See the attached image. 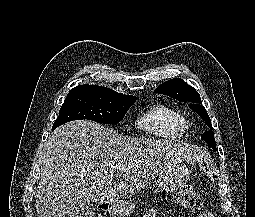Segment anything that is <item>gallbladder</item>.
<instances>
[{
  "instance_id": "1",
  "label": "gallbladder",
  "mask_w": 255,
  "mask_h": 217,
  "mask_svg": "<svg viewBox=\"0 0 255 217\" xmlns=\"http://www.w3.org/2000/svg\"><path fill=\"white\" fill-rule=\"evenodd\" d=\"M94 206L92 203L79 201L71 210L68 217H93Z\"/></svg>"
}]
</instances>
